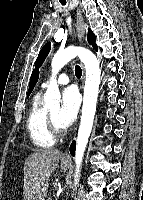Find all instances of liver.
Wrapping results in <instances>:
<instances>
[{"label":"liver","instance_id":"6515ba94","mask_svg":"<svg viewBox=\"0 0 143 200\" xmlns=\"http://www.w3.org/2000/svg\"><path fill=\"white\" fill-rule=\"evenodd\" d=\"M61 152L57 149H39L24 163V200H45L49 177L57 169Z\"/></svg>","mask_w":143,"mask_h":200}]
</instances>
